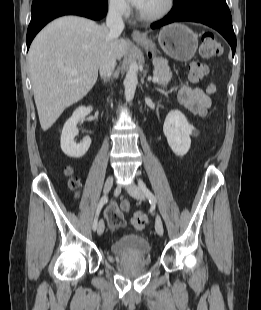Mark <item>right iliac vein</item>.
<instances>
[{"instance_id": "63e3f726", "label": "right iliac vein", "mask_w": 261, "mask_h": 310, "mask_svg": "<svg viewBox=\"0 0 261 310\" xmlns=\"http://www.w3.org/2000/svg\"><path fill=\"white\" fill-rule=\"evenodd\" d=\"M113 181H114L113 176H109L107 178L105 185H104V189H103L104 194L109 193V191L111 190L113 186ZM104 228H105L104 222L103 220H100L98 224V228H97V233L101 235L104 232Z\"/></svg>"}]
</instances>
